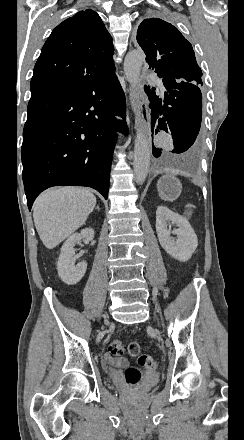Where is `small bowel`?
Instances as JSON below:
<instances>
[{
  "mask_svg": "<svg viewBox=\"0 0 244 440\" xmlns=\"http://www.w3.org/2000/svg\"><path fill=\"white\" fill-rule=\"evenodd\" d=\"M105 357L108 361L112 362L117 367H126L127 366V361L124 359H116L110 355H106Z\"/></svg>",
  "mask_w": 244,
  "mask_h": 440,
  "instance_id": "obj_1",
  "label": "small bowel"
}]
</instances>
